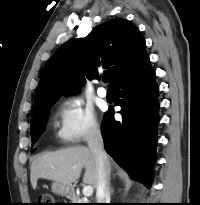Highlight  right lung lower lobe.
I'll list each match as a JSON object with an SVG mask.
<instances>
[{"label":"right lung lower lobe","mask_w":200,"mask_h":205,"mask_svg":"<svg viewBox=\"0 0 200 205\" xmlns=\"http://www.w3.org/2000/svg\"><path fill=\"white\" fill-rule=\"evenodd\" d=\"M158 85L149 59L114 85L115 105L122 122L113 117V108L105 113L101 126L104 147L129 175L147 187L152 181L159 123Z\"/></svg>","instance_id":"98d812e1"}]
</instances>
